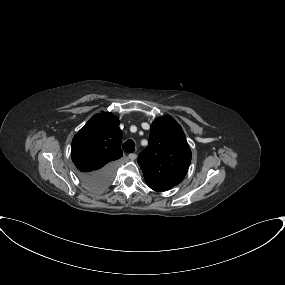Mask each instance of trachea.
I'll use <instances>...</instances> for the list:
<instances>
[{
  "label": "trachea",
  "mask_w": 285,
  "mask_h": 285,
  "mask_svg": "<svg viewBox=\"0 0 285 285\" xmlns=\"http://www.w3.org/2000/svg\"><path fill=\"white\" fill-rule=\"evenodd\" d=\"M123 150L126 152V153H132L134 152L135 150V142L133 140H127L123 146H122Z\"/></svg>",
  "instance_id": "trachea-1"
}]
</instances>
